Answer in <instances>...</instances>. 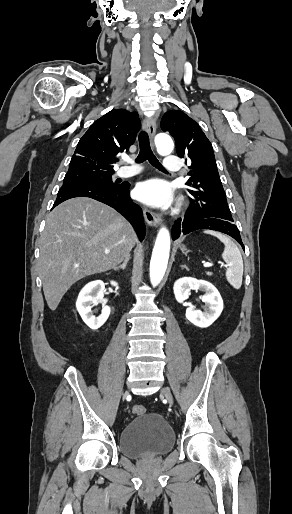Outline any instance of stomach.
I'll list each match as a JSON object with an SVG mask.
<instances>
[{"instance_id": "0dacf381", "label": "stomach", "mask_w": 292, "mask_h": 514, "mask_svg": "<svg viewBox=\"0 0 292 514\" xmlns=\"http://www.w3.org/2000/svg\"><path fill=\"white\" fill-rule=\"evenodd\" d=\"M182 250H186L185 246H182Z\"/></svg>"}]
</instances>
